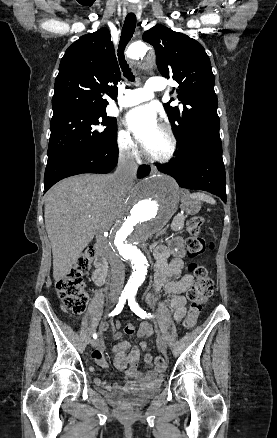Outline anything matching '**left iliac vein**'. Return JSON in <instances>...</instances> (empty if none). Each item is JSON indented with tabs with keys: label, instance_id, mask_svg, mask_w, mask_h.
Returning <instances> with one entry per match:
<instances>
[{
	"label": "left iliac vein",
	"instance_id": "4c4485c4",
	"mask_svg": "<svg viewBox=\"0 0 277 438\" xmlns=\"http://www.w3.org/2000/svg\"><path fill=\"white\" fill-rule=\"evenodd\" d=\"M160 345H161L162 349H166L167 348V342H166L164 337L160 338Z\"/></svg>",
	"mask_w": 277,
	"mask_h": 438
}]
</instances>
